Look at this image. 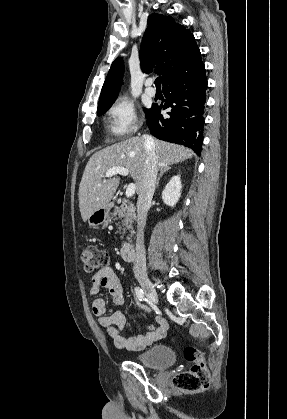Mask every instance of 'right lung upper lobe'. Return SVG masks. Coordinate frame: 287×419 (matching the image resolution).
I'll use <instances>...</instances> for the list:
<instances>
[{"label": "right lung upper lobe", "instance_id": "1", "mask_svg": "<svg viewBox=\"0 0 287 419\" xmlns=\"http://www.w3.org/2000/svg\"><path fill=\"white\" fill-rule=\"evenodd\" d=\"M142 70L162 75L165 85L204 67L193 34L170 16L152 14L140 49ZM122 58L113 61L103 84L98 108L114 103L122 83Z\"/></svg>", "mask_w": 287, "mask_h": 419}]
</instances>
